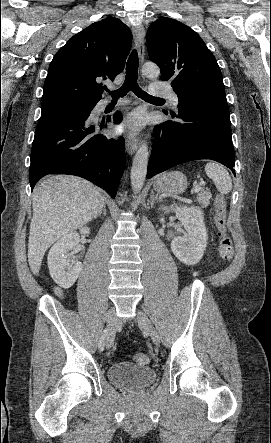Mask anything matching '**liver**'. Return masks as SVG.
Instances as JSON below:
<instances>
[{
    "mask_svg": "<svg viewBox=\"0 0 271 443\" xmlns=\"http://www.w3.org/2000/svg\"><path fill=\"white\" fill-rule=\"evenodd\" d=\"M105 206L101 190L76 176H47L33 196L28 263L38 275L45 251L65 233L94 220Z\"/></svg>",
    "mask_w": 271,
    "mask_h": 443,
    "instance_id": "liver-1",
    "label": "liver"
}]
</instances>
